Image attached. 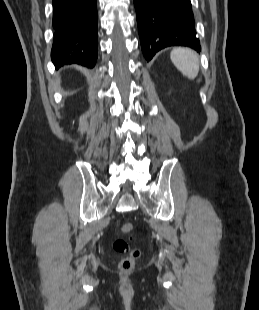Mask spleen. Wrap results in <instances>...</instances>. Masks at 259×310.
<instances>
[{
  "label": "spleen",
  "instance_id": "spleen-1",
  "mask_svg": "<svg viewBox=\"0 0 259 310\" xmlns=\"http://www.w3.org/2000/svg\"><path fill=\"white\" fill-rule=\"evenodd\" d=\"M176 68L189 79H194L199 73L198 55L191 49L174 48L170 54Z\"/></svg>",
  "mask_w": 259,
  "mask_h": 310
}]
</instances>
